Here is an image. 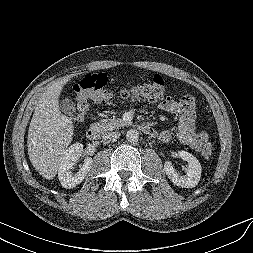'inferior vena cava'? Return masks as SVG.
<instances>
[{"instance_id": "inferior-vena-cava-1", "label": "inferior vena cava", "mask_w": 253, "mask_h": 253, "mask_svg": "<svg viewBox=\"0 0 253 253\" xmlns=\"http://www.w3.org/2000/svg\"><path fill=\"white\" fill-rule=\"evenodd\" d=\"M120 137V133L118 131L107 132L105 133L102 138L106 143L114 142Z\"/></svg>"}]
</instances>
